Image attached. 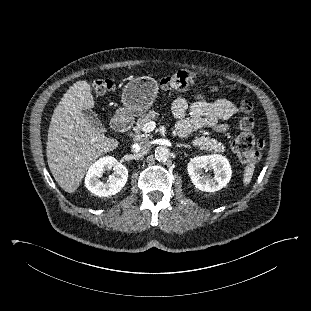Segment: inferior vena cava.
Wrapping results in <instances>:
<instances>
[{
  "mask_svg": "<svg viewBox=\"0 0 311 311\" xmlns=\"http://www.w3.org/2000/svg\"><path fill=\"white\" fill-rule=\"evenodd\" d=\"M150 147L149 141H142L140 144L132 145V152H139L140 150H147Z\"/></svg>",
  "mask_w": 311,
  "mask_h": 311,
  "instance_id": "inferior-vena-cava-1",
  "label": "inferior vena cava"
}]
</instances>
